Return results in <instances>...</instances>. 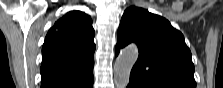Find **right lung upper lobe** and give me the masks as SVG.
<instances>
[{"mask_svg":"<svg viewBox=\"0 0 223 88\" xmlns=\"http://www.w3.org/2000/svg\"><path fill=\"white\" fill-rule=\"evenodd\" d=\"M95 32L90 16L68 12L49 30L42 48L41 88H84L93 81Z\"/></svg>","mask_w":223,"mask_h":88,"instance_id":"obj_1","label":"right lung upper lobe"}]
</instances>
